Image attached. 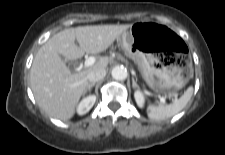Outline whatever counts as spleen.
Here are the masks:
<instances>
[{
  "label": "spleen",
  "mask_w": 225,
  "mask_h": 155,
  "mask_svg": "<svg viewBox=\"0 0 225 155\" xmlns=\"http://www.w3.org/2000/svg\"><path fill=\"white\" fill-rule=\"evenodd\" d=\"M193 94V88L189 87L184 94L175 102L168 105L149 104L147 115L149 119L159 121L170 118L178 114L189 102Z\"/></svg>",
  "instance_id": "obj_1"
}]
</instances>
